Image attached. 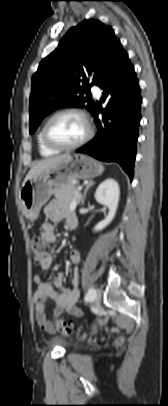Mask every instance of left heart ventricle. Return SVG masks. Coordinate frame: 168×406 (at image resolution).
<instances>
[{
	"instance_id": "b2bd125f",
	"label": "left heart ventricle",
	"mask_w": 168,
	"mask_h": 406,
	"mask_svg": "<svg viewBox=\"0 0 168 406\" xmlns=\"http://www.w3.org/2000/svg\"><path fill=\"white\" fill-rule=\"evenodd\" d=\"M86 132L83 119L74 113L56 117L48 127L50 139L60 145H69L80 140Z\"/></svg>"
}]
</instances>
